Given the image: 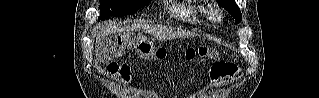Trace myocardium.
Returning a JSON list of instances; mask_svg holds the SVG:
<instances>
[{"instance_id":"f54148a6","label":"myocardium","mask_w":319,"mask_h":98,"mask_svg":"<svg viewBox=\"0 0 319 98\" xmlns=\"http://www.w3.org/2000/svg\"><path fill=\"white\" fill-rule=\"evenodd\" d=\"M209 14H210V18L213 20V21H220L221 20V11L219 8L217 7H213L210 9L209 11Z\"/></svg>"}]
</instances>
